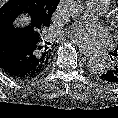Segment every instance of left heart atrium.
Wrapping results in <instances>:
<instances>
[{
	"label": "left heart atrium",
	"mask_w": 118,
	"mask_h": 118,
	"mask_svg": "<svg viewBox=\"0 0 118 118\" xmlns=\"http://www.w3.org/2000/svg\"><path fill=\"white\" fill-rule=\"evenodd\" d=\"M69 37L88 49L107 45L110 41L107 29L102 26H79L69 32Z\"/></svg>",
	"instance_id": "left-heart-atrium-1"
}]
</instances>
